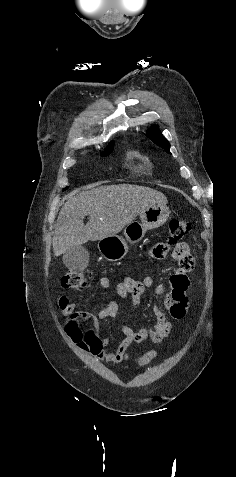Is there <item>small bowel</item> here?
Masks as SVG:
<instances>
[{
  "label": "small bowel",
  "mask_w": 236,
  "mask_h": 477,
  "mask_svg": "<svg viewBox=\"0 0 236 477\" xmlns=\"http://www.w3.org/2000/svg\"><path fill=\"white\" fill-rule=\"evenodd\" d=\"M183 246L188 247L186 243ZM169 250L166 244L159 243L153 249V256L156 259L165 257ZM180 263V269L171 278V291H167L162 285L155 286V280L151 276H146L142 281L126 277L122 281L112 285L110 278L102 277L99 281L102 289L113 290L120 298L130 299L134 306H139L146 289L155 288L158 295L163 298L164 306L169 310L174 320L185 318L189 308V296L187 293L189 281L187 273L194 266V258L190 251L181 258H176ZM59 307L65 316L64 331L68 337L82 350L88 352L93 357L111 364H121L130 359V348L147 339L154 345H158L166 338L173 329L172 322L165 313L157 306L153 308L155 322L147 327L134 330L128 325H122L121 330L124 335L115 349H110L108 338H102L99 332V322L103 319H117L120 312L119 303L115 300H108L106 305L97 312L79 311L67 296L59 299ZM89 324L88 328H83L82 324ZM157 356L156 348H151L139 356L135 362L137 365H145Z\"/></svg>",
  "instance_id": "small-bowel-1"
}]
</instances>
